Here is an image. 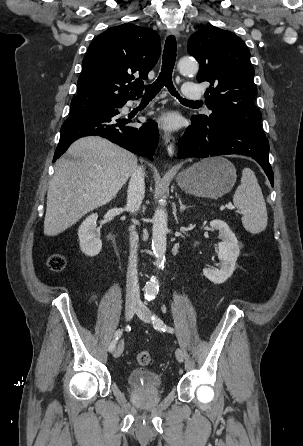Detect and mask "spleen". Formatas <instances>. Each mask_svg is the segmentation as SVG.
<instances>
[{"mask_svg": "<svg viewBox=\"0 0 303 446\" xmlns=\"http://www.w3.org/2000/svg\"><path fill=\"white\" fill-rule=\"evenodd\" d=\"M234 205L241 211L244 228L258 234L265 230L268 216L265 200L254 172L250 168L242 171L241 184L233 195Z\"/></svg>", "mask_w": 303, "mask_h": 446, "instance_id": "obj_1", "label": "spleen"}]
</instances>
